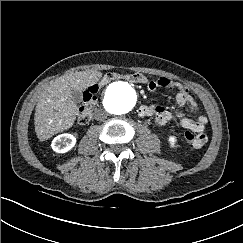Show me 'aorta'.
<instances>
[{
	"mask_svg": "<svg viewBox=\"0 0 243 243\" xmlns=\"http://www.w3.org/2000/svg\"><path fill=\"white\" fill-rule=\"evenodd\" d=\"M104 107L112 114L122 115L129 112L135 105V91L125 82L110 84L103 98Z\"/></svg>",
	"mask_w": 243,
	"mask_h": 243,
	"instance_id": "762f6f07",
	"label": "aorta"
}]
</instances>
